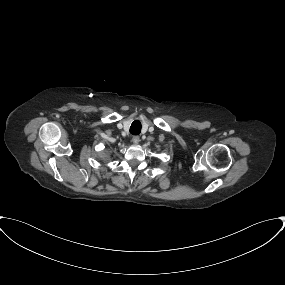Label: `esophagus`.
I'll return each instance as SVG.
<instances>
[{
    "label": "esophagus",
    "instance_id": "1",
    "mask_svg": "<svg viewBox=\"0 0 285 285\" xmlns=\"http://www.w3.org/2000/svg\"><path fill=\"white\" fill-rule=\"evenodd\" d=\"M139 141H140L139 136H134V137L132 138V142H133L134 144H138Z\"/></svg>",
    "mask_w": 285,
    "mask_h": 285
}]
</instances>
